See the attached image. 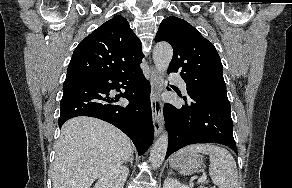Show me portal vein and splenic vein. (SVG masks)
Segmentation results:
<instances>
[{
  "mask_svg": "<svg viewBox=\"0 0 292 188\" xmlns=\"http://www.w3.org/2000/svg\"><path fill=\"white\" fill-rule=\"evenodd\" d=\"M205 180H206V177H205V176H202V177H200V178L198 179V183L203 182V181H205Z\"/></svg>",
  "mask_w": 292,
  "mask_h": 188,
  "instance_id": "portal-vein-and-splenic-vein-1",
  "label": "portal vein and splenic vein"
}]
</instances>
